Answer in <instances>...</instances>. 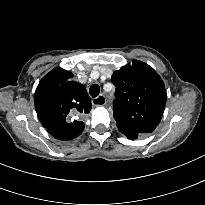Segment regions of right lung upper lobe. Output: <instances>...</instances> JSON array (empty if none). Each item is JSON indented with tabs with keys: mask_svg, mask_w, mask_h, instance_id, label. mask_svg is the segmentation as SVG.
Here are the masks:
<instances>
[{
	"mask_svg": "<svg viewBox=\"0 0 205 205\" xmlns=\"http://www.w3.org/2000/svg\"><path fill=\"white\" fill-rule=\"evenodd\" d=\"M35 109L42 125L59 140H70L80 135L84 123L76 118L88 114L91 100L85 87L74 79L72 72L56 68L39 82ZM72 118V120H71Z\"/></svg>",
	"mask_w": 205,
	"mask_h": 205,
	"instance_id": "cb5924a9",
	"label": "right lung upper lobe"
}]
</instances>
